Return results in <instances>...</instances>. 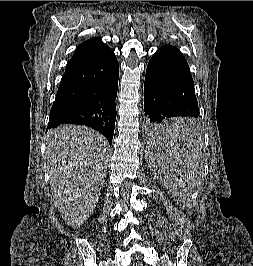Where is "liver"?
<instances>
[{
	"instance_id": "6515ba94",
	"label": "liver",
	"mask_w": 253,
	"mask_h": 266,
	"mask_svg": "<svg viewBox=\"0 0 253 266\" xmlns=\"http://www.w3.org/2000/svg\"><path fill=\"white\" fill-rule=\"evenodd\" d=\"M109 144L99 132L64 125L47 136L50 188L67 225L78 228L93 213L104 184Z\"/></svg>"
}]
</instances>
